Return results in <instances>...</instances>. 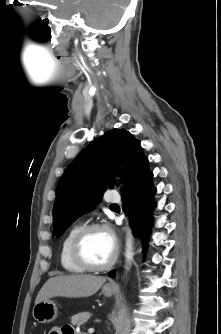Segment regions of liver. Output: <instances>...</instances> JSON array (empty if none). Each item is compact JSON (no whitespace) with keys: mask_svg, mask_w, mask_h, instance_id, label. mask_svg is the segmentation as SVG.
Here are the masks:
<instances>
[{"mask_svg":"<svg viewBox=\"0 0 221 334\" xmlns=\"http://www.w3.org/2000/svg\"><path fill=\"white\" fill-rule=\"evenodd\" d=\"M106 278L78 274L50 278L39 291L35 304L52 297H89L105 283Z\"/></svg>","mask_w":221,"mask_h":334,"instance_id":"obj_1","label":"liver"}]
</instances>
